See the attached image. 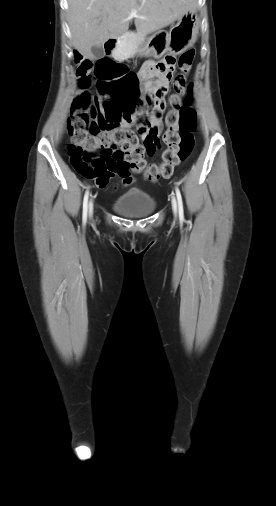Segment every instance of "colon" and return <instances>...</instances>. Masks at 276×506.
Wrapping results in <instances>:
<instances>
[{"label":"colon","mask_w":276,"mask_h":506,"mask_svg":"<svg viewBox=\"0 0 276 506\" xmlns=\"http://www.w3.org/2000/svg\"><path fill=\"white\" fill-rule=\"evenodd\" d=\"M81 50H70L68 57L77 64V86L80 93L74 98L71 113L67 121L71 143L68 155L71 166L85 178H97L103 175L111 158L122 161L126 170L143 172L147 180L155 182L159 177L169 178L179 163L186 161L195 147L194 133L197 127L196 112L192 95L181 96L188 88L187 73L190 71L195 49L182 53L177 64L179 73L173 78L175 93L170 97L171 109L166 114L167 129L162 135L167 149L162 154L161 164L148 165L145 156L158 148L159 135L149 131L155 106L165 93L162 88L148 91L145 98L137 93L136 80L141 77L138 69H125L120 66L130 59L116 54L112 58L97 57L94 67L90 57ZM117 64V65H116ZM175 64L173 57L159 65L160 71L169 73ZM94 68L97 86L102 99L89 96ZM171 78V75H169ZM152 108L150 118L142 116V107ZM137 122L140 133H145L140 143L135 132L122 126V123Z\"/></svg>","instance_id":"obj_1"}]
</instances>
